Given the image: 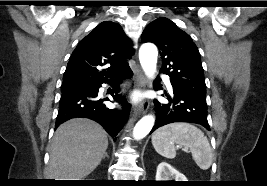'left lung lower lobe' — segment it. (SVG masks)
Returning <instances> with one entry per match:
<instances>
[{
    "label": "left lung lower lobe",
    "mask_w": 267,
    "mask_h": 186,
    "mask_svg": "<svg viewBox=\"0 0 267 186\" xmlns=\"http://www.w3.org/2000/svg\"><path fill=\"white\" fill-rule=\"evenodd\" d=\"M165 95L168 96L166 92ZM168 101V104H161L157 100L154 101L156 122L151 133L161 126L174 122L200 124L210 130L205 96L173 86V96H168Z\"/></svg>",
    "instance_id": "1"
}]
</instances>
